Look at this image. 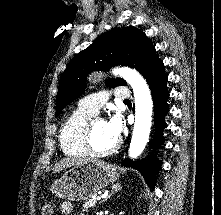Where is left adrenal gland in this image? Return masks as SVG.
Masks as SVG:
<instances>
[{"label":"left adrenal gland","mask_w":221,"mask_h":215,"mask_svg":"<svg viewBox=\"0 0 221 215\" xmlns=\"http://www.w3.org/2000/svg\"><path fill=\"white\" fill-rule=\"evenodd\" d=\"M121 189H122V186L119 183L112 185L111 193L103 200V202L107 201L108 198H110L113 194H115L116 192L120 191Z\"/></svg>","instance_id":"1"}]
</instances>
